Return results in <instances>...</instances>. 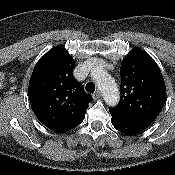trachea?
Returning a JSON list of instances; mask_svg holds the SVG:
<instances>
[{
  "label": "trachea",
  "instance_id": "obj_1",
  "mask_svg": "<svg viewBox=\"0 0 175 175\" xmlns=\"http://www.w3.org/2000/svg\"><path fill=\"white\" fill-rule=\"evenodd\" d=\"M85 89H86V91H87L88 93H92V94H93L94 91H95V84L92 83V82H89V83L86 84Z\"/></svg>",
  "mask_w": 175,
  "mask_h": 175
}]
</instances>
